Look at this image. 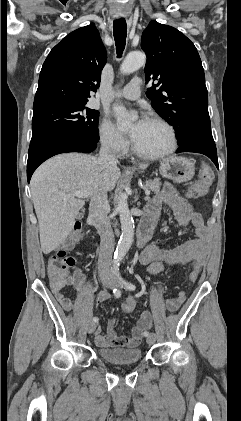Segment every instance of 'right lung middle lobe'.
Listing matches in <instances>:
<instances>
[{
    "instance_id": "1",
    "label": "right lung middle lobe",
    "mask_w": 241,
    "mask_h": 421,
    "mask_svg": "<svg viewBox=\"0 0 241 421\" xmlns=\"http://www.w3.org/2000/svg\"><path fill=\"white\" fill-rule=\"evenodd\" d=\"M86 103H51L33 108L32 139L54 133L74 134L99 141V112Z\"/></svg>"
}]
</instances>
